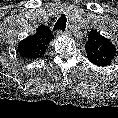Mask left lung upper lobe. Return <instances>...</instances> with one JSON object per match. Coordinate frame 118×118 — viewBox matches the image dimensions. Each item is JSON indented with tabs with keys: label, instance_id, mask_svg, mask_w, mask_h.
<instances>
[{
	"label": "left lung upper lobe",
	"instance_id": "1",
	"mask_svg": "<svg viewBox=\"0 0 118 118\" xmlns=\"http://www.w3.org/2000/svg\"><path fill=\"white\" fill-rule=\"evenodd\" d=\"M85 50L89 61L97 66L110 65L116 53L112 42L101 36L96 30H91L88 34Z\"/></svg>",
	"mask_w": 118,
	"mask_h": 118
}]
</instances>
